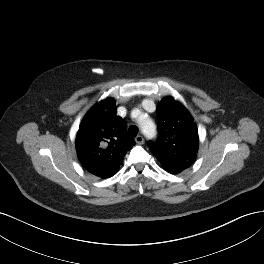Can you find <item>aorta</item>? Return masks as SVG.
<instances>
[{"mask_svg": "<svg viewBox=\"0 0 264 264\" xmlns=\"http://www.w3.org/2000/svg\"><path fill=\"white\" fill-rule=\"evenodd\" d=\"M141 128L143 133L146 135L148 138H153L156 134V129L154 123L147 119L141 124Z\"/></svg>", "mask_w": 264, "mask_h": 264, "instance_id": "762f6f07", "label": "aorta"}]
</instances>
